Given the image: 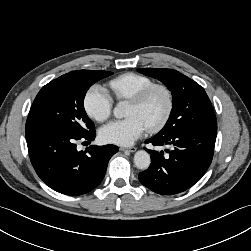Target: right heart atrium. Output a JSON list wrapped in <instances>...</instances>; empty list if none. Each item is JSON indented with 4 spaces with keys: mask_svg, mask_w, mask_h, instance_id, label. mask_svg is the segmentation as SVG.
Segmentation results:
<instances>
[{
    "mask_svg": "<svg viewBox=\"0 0 251 251\" xmlns=\"http://www.w3.org/2000/svg\"><path fill=\"white\" fill-rule=\"evenodd\" d=\"M83 107L90 118L103 122L111 115L113 99L103 86L95 84L86 91Z\"/></svg>",
    "mask_w": 251,
    "mask_h": 251,
    "instance_id": "d8ad5b80",
    "label": "right heart atrium"
}]
</instances>
